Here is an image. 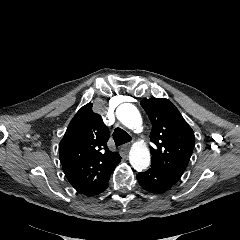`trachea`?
I'll list each match as a JSON object with an SVG mask.
<instances>
[{"mask_svg": "<svg viewBox=\"0 0 240 240\" xmlns=\"http://www.w3.org/2000/svg\"><path fill=\"white\" fill-rule=\"evenodd\" d=\"M113 139L117 146L126 144L131 141L130 135L121 128H116L113 132Z\"/></svg>", "mask_w": 240, "mask_h": 240, "instance_id": "obj_1", "label": "trachea"}]
</instances>
